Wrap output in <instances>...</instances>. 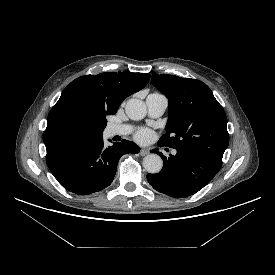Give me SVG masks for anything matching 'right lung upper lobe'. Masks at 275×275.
<instances>
[{"mask_svg": "<svg viewBox=\"0 0 275 275\" xmlns=\"http://www.w3.org/2000/svg\"><path fill=\"white\" fill-rule=\"evenodd\" d=\"M150 79L148 73L110 72L81 76L62 92L47 117L44 144L75 141L91 137L90 130L81 126L88 115H114L121 102L141 90Z\"/></svg>", "mask_w": 275, "mask_h": 275, "instance_id": "1", "label": "right lung upper lobe"}]
</instances>
